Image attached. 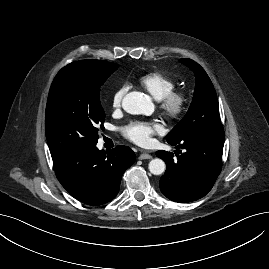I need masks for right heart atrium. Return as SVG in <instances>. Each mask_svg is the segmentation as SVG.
Returning <instances> with one entry per match:
<instances>
[{"instance_id":"d8ad5b80","label":"right heart atrium","mask_w":269,"mask_h":269,"mask_svg":"<svg viewBox=\"0 0 269 269\" xmlns=\"http://www.w3.org/2000/svg\"><path fill=\"white\" fill-rule=\"evenodd\" d=\"M128 91V85L123 84L119 86L111 95L110 106L112 109H119L122 105L124 96Z\"/></svg>"}]
</instances>
